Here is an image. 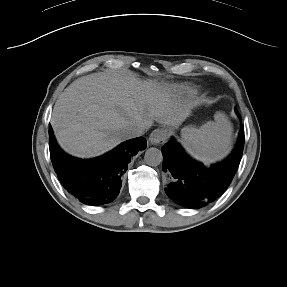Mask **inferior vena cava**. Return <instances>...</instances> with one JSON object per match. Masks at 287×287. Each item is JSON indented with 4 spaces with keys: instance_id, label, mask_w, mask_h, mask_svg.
<instances>
[{
    "instance_id": "602c4592",
    "label": "inferior vena cava",
    "mask_w": 287,
    "mask_h": 287,
    "mask_svg": "<svg viewBox=\"0 0 287 287\" xmlns=\"http://www.w3.org/2000/svg\"><path fill=\"white\" fill-rule=\"evenodd\" d=\"M145 129L146 126L143 123H131L126 125L123 128L122 132L127 139H131L142 136L144 134Z\"/></svg>"
}]
</instances>
